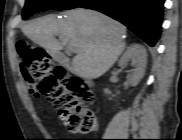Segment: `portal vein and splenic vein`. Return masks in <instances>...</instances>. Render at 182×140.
Returning a JSON list of instances; mask_svg holds the SVG:
<instances>
[{
    "instance_id": "portal-vein-and-splenic-vein-1",
    "label": "portal vein and splenic vein",
    "mask_w": 182,
    "mask_h": 140,
    "mask_svg": "<svg viewBox=\"0 0 182 140\" xmlns=\"http://www.w3.org/2000/svg\"><path fill=\"white\" fill-rule=\"evenodd\" d=\"M64 44H66V43H64ZM68 47H69L71 50L76 51V48H75L74 46L69 45Z\"/></svg>"
}]
</instances>
